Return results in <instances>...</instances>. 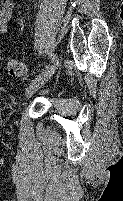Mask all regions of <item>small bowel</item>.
<instances>
[{"instance_id":"c3829d8e","label":"small bowel","mask_w":123,"mask_h":201,"mask_svg":"<svg viewBox=\"0 0 123 201\" xmlns=\"http://www.w3.org/2000/svg\"><path fill=\"white\" fill-rule=\"evenodd\" d=\"M14 9V0H3L0 8V35L7 31Z\"/></svg>"}]
</instances>
